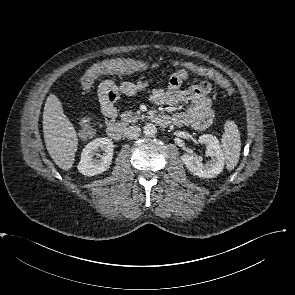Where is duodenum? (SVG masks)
Wrapping results in <instances>:
<instances>
[{
	"instance_id": "1",
	"label": "duodenum",
	"mask_w": 295,
	"mask_h": 295,
	"mask_svg": "<svg viewBox=\"0 0 295 295\" xmlns=\"http://www.w3.org/2000/svg\"><path fill=\"white\" fill-rule=\"evenodd\" d=\"M154 122L161 127H165L171 122V120L167 116H156ZM124 131L125 125L123 123H111L107 127L108 136L116 141L122 138Z\"/></svg>"
}]
</instances>
